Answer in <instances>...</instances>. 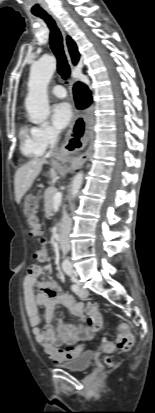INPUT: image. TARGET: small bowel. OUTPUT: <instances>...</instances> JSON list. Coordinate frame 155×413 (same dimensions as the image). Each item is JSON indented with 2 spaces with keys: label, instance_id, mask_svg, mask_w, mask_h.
<instances>
[{
  "label": "small bowel",
  "instance_id": "1",
  "mask_svg": "<svg viewBox=\"0 0 155 413\" xmlns=\"http://www.w3.org/2000/svg\"><path fill=\"white\" fill-rule=\"evenodd\" d=\"M43 267L39 264L31 265L24 278V306L32 333L36 342L49 353L55 361L70 360L83 352L79 341L91 339L103 325L100 314L84 312V304L73 296L64 294L58 285L53 282H41ZM37 288V292H35ZM61 305L71 314L86 318L85 323L65 324L60 322L55 329L50 323L53 320L55 308ZM44 307L45 328H40L41 316L39 307ZM65 345V349L61 346Z\"/></svg>",
  "mask_w": 155,
  "mask_h": 413
}]
</instances>
